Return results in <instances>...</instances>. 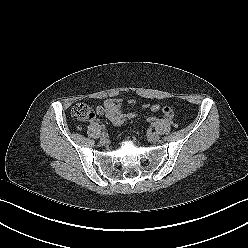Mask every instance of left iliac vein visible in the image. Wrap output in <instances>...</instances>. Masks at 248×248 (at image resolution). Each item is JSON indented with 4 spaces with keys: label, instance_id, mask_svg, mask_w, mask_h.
I'll return each instance as SVG.
<instances>
[{
    "label": "left iliac vein",
    "instance_id": "obj_1",
    "mask_svg": "<svg viewBox=\"0 0 248 248\" xmlns=\"http://www.w3.org/2000/svg\"><path fill=\"white\" fill-rule=\"evenodd\" d=\"M149 138L154 141V142H157L159 141L160 139V135L157 133V132H152L150 135H149Z\"/></svg>",
    "mask_w": 248,
    "mask_h": 248
}]
</instances>
